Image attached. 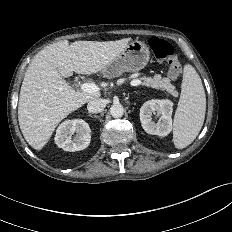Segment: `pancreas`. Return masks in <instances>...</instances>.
<instances>
[{"instance_id": "pancreas-1", "label": "pancreas", "mask_w": 232, "mask_h": 232, "mask_svg": "<svg viewBox=\"0 0 232 232\" xmlns=\"http://www.w3.org/2000/svg\"><path fill=\"white\" fill-rule=\"evenodd\" d=\"M141 80L142 84L147 87L167 91L173 97L178 96V92L175 90V86L170 83V80L168 78H161L160 75H155L154 77H143L141 78Z\"/></svg>"}]
</instances>
